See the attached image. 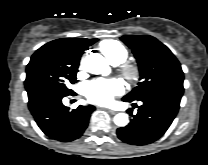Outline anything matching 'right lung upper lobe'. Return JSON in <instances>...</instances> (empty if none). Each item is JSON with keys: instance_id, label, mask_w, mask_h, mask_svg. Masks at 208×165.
Listing matches in <instances>:
<instances>
[{"instance_id": "1", "label": "right lung upper lobe", "mask_w": 208, "mask_h": 165, "mask_svg": "<svg viewBox=\"0 0 208 165\" xmlns=\"http://www.w3.org/2000/svg\"><path fill=\"white\" fill-rule=\"evenodd\" d=\"M97 39H84V38H62L57 39L52 42L65 45L69 48H72L74 50L83 51L88 48V46L95 43Z\"/></svg>"}]
</instances>
